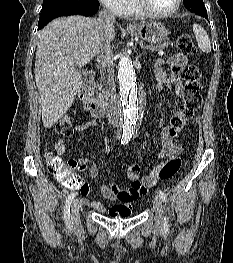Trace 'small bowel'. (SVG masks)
I'll list each match as a JSON object with an SVG mask.
<instances>
[{
    "instance_id": "obj_1",
    "label": "small bowel",
    "mask_w": 233,
    "mask_h": 263,
    "mask_svg": "<svg viewBox=\"0 0 233 263\" xmlns=\"http://www.w3.org/2000/svg\"><path fill=\"white\" fill-rule=\"evenodd\" d=\"M163 61L159 60L155 65V76L157 79V89L162 90L166 85H174L175 94L179 98L184 97V86L181 78V73L184 67L188 63L187 56L183 53H176L172 55L168 60L167 64L170 68V72L167 73L163 68ZM96 125L95 120H89L76 125L73 128V132L82 133L91 127ZM177 134L167 126L162 131V151L159 155L161 162L156 165L152 171L145 176L140 178V167L136 163H130L126 167V177L129 181V186L125 189L119 188L115 184L100 185V193L102 196L110 201L117 202L118 204L107 208L99 201L89 200L88 195H83L81 200L83 204L89 205L94 210L100 213H107L110 217H129L132 211V204L137 201L140 197L146 195L148 191L156 184L157 179L155 178L156 171L164 165L167 161L173 159L181 152V146L177 141ZM72 141L71 136L61 137L56 145L55 151L57 155L61 156L66 150V144ZM75 163L73 170L86 168L87 164L91 162L88 158H82L79 160H72ZM99 172L98 166L92 162L90 169V177H96ZM65 183V182H64Z\"/></svg>"
}]
</instances>
